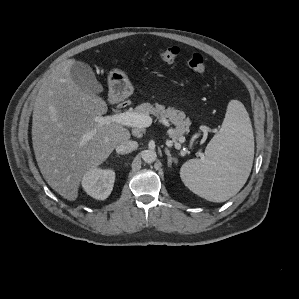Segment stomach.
I'll return each instance as SVG.
<instances>
[{
  "mask_svg": "<svg viewBox=\"0 0 299 299\" xmlns=\"http://www.w3.org/2000/svg\"><path fill=\"white\" fill-rule=\"evenodd\" d=\"M108 83L110 94L115 98L124 99L132 94V85L125 72L120 69L110 71Z\"/></svg>",
  "mask_w": 299,
  "mask_h": 299,
  "instance_id": "stomach-1",
  "label": "stomach"
}]
</instances>
